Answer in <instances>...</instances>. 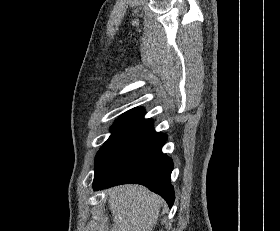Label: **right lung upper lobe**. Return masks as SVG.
Returning <instances> with one entry per match:
<instances>
[{
  "label": "right lung upper lobe",
  "mask_w": 280,
  "mask_h": 231,
  "mask_svg": "<svg viewBox=\"0 0 280 231\" xmlns=\"http://www.w3.org/2000/svg\"><path fill=\"white\" fill-rule=\"evenodd\" d=\"M145 110L142 108L131 109L120 116L116 121L127 122L135 125H141L152 121L151 119H144Z\"/></svg>",
  "instance_id": "1"
}]
</instances>
